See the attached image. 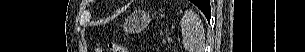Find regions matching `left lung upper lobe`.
<instances>
[{"label": "left lung upper lobe", "mask_w": 305, "mask_h": 52, "mask_svg": "<svg viewBox=\"0 0 305 52\" xmlns=\"http://www.w3.org/2000/svg\"><path fill=\"white\" fill-rule=\"evenodd\" d=\"M192 3H194L198 8H203L204 6V0H191Z\"/></svg>", "instance_id": "1"}]
</instances>
